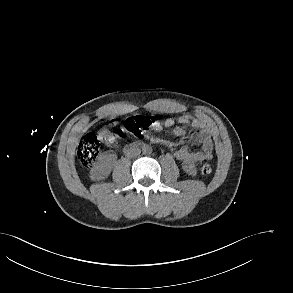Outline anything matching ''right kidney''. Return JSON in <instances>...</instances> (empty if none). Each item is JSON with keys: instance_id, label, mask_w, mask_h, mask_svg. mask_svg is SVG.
<instances>
[{"instance_id": "right-kidney-1", "label": "right kidney", "mask_w": 293, "mask_h": 293, "mask_svg": "<svg viewBox=\"0 0 293 293\" xmlns=\"http://www.w3.org/2000/svg\"><path fill=\"white\" fill-rule=\"evenodd\" d=\"M111 171V168L106 160H104L102 163L96 165L91 172V177L94 180H99L105 178L107 175H109Z\"/></svg>"}]
</instances>
